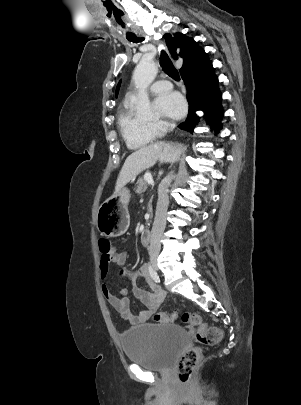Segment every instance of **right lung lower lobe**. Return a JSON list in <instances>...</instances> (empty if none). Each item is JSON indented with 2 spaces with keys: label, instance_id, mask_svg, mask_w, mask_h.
<instances>
[{
  "label": "right lung lower lobe",
  "instance_id": "1",
  "mask_svg": "<svg viewBox=\"0 0 301 405\" xmlns=\"http://www.w3.org/2000/svg\"><path fill=\"white\" fill-rule=\"evenodd\" d=\"M181 76L187 87L189 112L186 121L179 127L193 132L200 119L195 112L202 110L207 123L215 129L216 134L219 133L224 111L221 105L222 94L212 63L207 59L181 72Z\"/></svg>",
  "mask_w": 301,
  "mask_h": 405
}]
</instances>
